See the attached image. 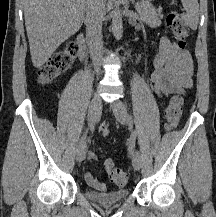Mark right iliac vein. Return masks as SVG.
<instances>
[{"mask_svg":"<svg viewBox=\"0 0 216 217\" xmlns=\"http://www.w3.org/2000/svg\"><path fill=\"white\" fill-rule=\"evenodd\" d=\"M101 110V98L98 94H95L92 97V100L89 105L88 109V123H95L97 116ZM86 141L85 139L81 140L78 144V147L76 149V160L78 162H81L85 159L86 155Z\"/></svg>","mask_w":216,"mask_h":217,"instance_id":"obj_1","label":"right iliac vein"}]
</instances>
